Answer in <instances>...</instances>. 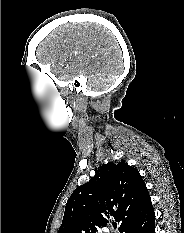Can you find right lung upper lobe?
<instances>
[{
	"instance_id": "cb5924a9",
	"label": "right lung upper lobe",
	"mask_w": 184,
	"mask_h": 233,
	"mask_svg": "<svg viewBox=\"0 0 184 233\" xmlns=\"http://www.w3.org/2000/svg\"><path fill=\"white\" fill-rule=\"evenodd\" d=\"M151 205L139 172L124 160L110 162L74 190L67 201L59 233H95L111 217L120 223L121 231Z\"/></svg>"
}]
</instances>
